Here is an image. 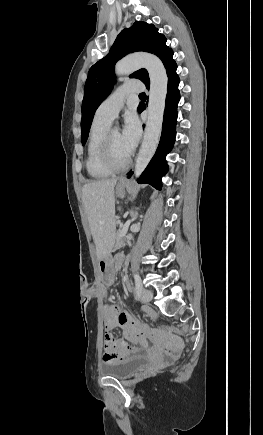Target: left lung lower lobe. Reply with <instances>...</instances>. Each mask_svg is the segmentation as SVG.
Segmentation results:
<instances>
[{
	"label": "left lung lower lobe",
	"instance_id": "left-lung-lower-lobe-1",
	"mask_svg": "<svg viewBox=\"0 0 263 435\" xmlns=\"http://www.w3.org/2000/svg\"><path fill=\"white\" fill-rule=\"evenodd\" d=\"M177 65L175 61H171L166 67L168 75V93L166 96V106L164 111V120L161 139L155 155L149 165L138 179L139 183H148L158 190H161L162 177L168 170L166 155L170 152L175 141V126L177 122V105L180 100L178 90L179 77L176 73ZM148 88L149 85H146ZM145 108L139 107V112ZM133 172H129L127 177L130 178Z\"/></svg>",
	"mask_w": 263,
	"mask_h": 435
}]
</instances>
